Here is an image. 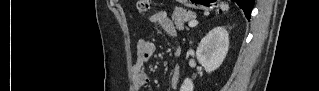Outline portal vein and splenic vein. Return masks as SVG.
<instances>
[{
  "mask_svg": "<svg viewBox=\"0 0 319 91\" xmlns=\"http://www.w3.org/2000/svg\"><path fill=\"white\" fill-rule=\"evenodd\" d=\"M198 25V22L196 20H191L189 23H188V26L193 28V27H196Z\"/></svg>",
  "mask_w": 319,
  "mask_h": 91,
  "instance_id": "obj_1",
  "label": "portal vein and splenic vein"
}]
</instances>
